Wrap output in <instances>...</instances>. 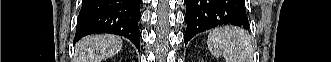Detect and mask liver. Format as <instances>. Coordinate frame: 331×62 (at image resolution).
<instances>
[{"label": "liver", "instance_id": "liver-1", "mask_svg": "<svg viewBox=\"0 0 331 62\" xmlns=\"http://www.w3.org/2000/svg\"><path fill=\"white\" fill-rule=\"evenodd\" d=\"M123 41L118 36L96 34L82 38L76 44L77 62H101L117 54Z\"/></svg>", "mask_w": 331, "mask_h": 62}]
</instances>
